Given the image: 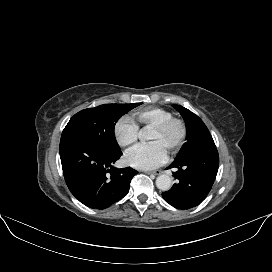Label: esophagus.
<instances>
[{
	"instance_id": "1",
	"label": "esophagus",
	"mask_w": 272,
	"mask_h": 272,
	"mask_svg": "<svg viewBox=\"0 0 272 272\" xmlns=\"http://www.w3.org/2000/svg\"><path fill=\"white\" fill-rule=\"evenodd\" d=\"M146 174H153V175H159L161 174L162 172L160 170H154V171H147L145 172Z\"/></svg>"
}]
</instances>
